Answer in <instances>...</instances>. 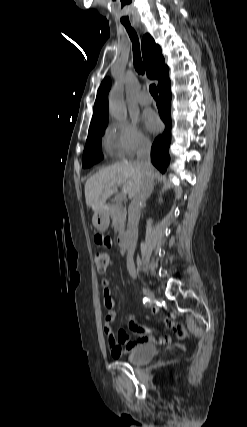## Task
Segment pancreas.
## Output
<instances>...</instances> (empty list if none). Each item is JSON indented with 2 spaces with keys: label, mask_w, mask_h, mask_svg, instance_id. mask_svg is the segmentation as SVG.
<instances>
[{
  "label": "pancreas",
  "mask_w": 247,
  "mask_h": 427,
  "mask_svg": "<svg viewBox=\"0 0 247 427\" xmlns=\"http://www.w3.org/2000/svg\"><path fill=\"white\" fill-rule=\"evenodd\" d=\"M108 214L112 219L114 225L117 226L119 234H122L125 229L126 222V207L122 205L121 201L115 200L109 206Z\"/></svg>",
  "instance_id": "obj_1"
}]
</instances>
